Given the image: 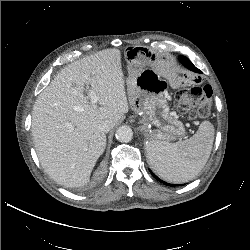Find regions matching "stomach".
Here are the masks:
<instances>
[{
	"label": "stomach",
	"instance_id": "0dacf381",
	"mask_svg": "<svg viewBox=\"0 0 250 250\" xmlns=\"http://www.w3.org/2000/svg\"><path fill=\"white\" fill-rule=\"evenodd\" d=\"M128 63L127 89L132 110L143 124L153 123L160 128L157 139H171L183 135V124L169 111L165 98L164 80L152 69L146 68L154 55L143 46H129L124 52Z\"/></svg>",
	"mask_w": 250,
	"mask_h": 250
}]
</instances>
